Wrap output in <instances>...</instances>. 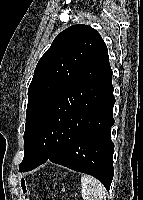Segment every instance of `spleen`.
Masks as SVG:
<instances>
[{"label": "spleen", "mask_w": 143, "mask_h": 200, "mask_svg": "<svg viewBox=\"0 0 143 200\" xmlns=\"http://www.w3.org/2000/svg\"><path fill=\"white\" fill-rule=\"evenodd\" d=\"M81 196L83 200H106V189L94 177L83 175L81 177Z\"/></svg>", "instance_id": "obj_1"}]
</instances>
